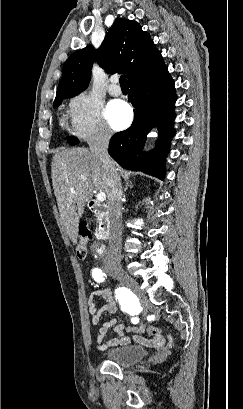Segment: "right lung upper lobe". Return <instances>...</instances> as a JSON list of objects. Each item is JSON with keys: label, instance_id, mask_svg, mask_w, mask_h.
Returning a JSON list of instances; mask_svg holds the SVG:
<instances>
[{"label": "right lung upper lobe", "instance_id": "obj_1", "mask_svg": "<svg viewBox=\"0 0 243 409\" xmlns=\"http://www.w3.org/2000/svg\"><path fill=\"white\" fill-rule=\"evenodd\" d=\"M94 60L107 73H125L129 84L165 66L150 35L142 31L137 22L119 18L106 33L98 50L88 45L66 60L55 101L63 96H75L87 88Z\"/></svg>", "mask_w": 243, "mask_h": 409}]
</instances>
